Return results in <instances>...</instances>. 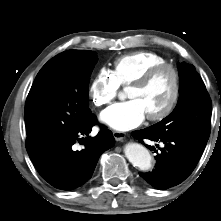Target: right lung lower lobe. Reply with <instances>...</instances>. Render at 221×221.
Listing matches in <instances>:
<instances>
[{"instance_id": "1", "label": "right lung lower lobe", "mask_w": 221, "mask_h": 221, "mask_svg": "<svg viewBox=\"0 0 221 221\" xmlns=\"http://www.w3.org/2000/svg\"><path fill=\"white\" fill-rule=\"evenodd\" d=\"M96 123V116L91 115L70 137L26 141L30 159L50 185L61 190H72L91 178L100 155L115 144L112 132L105 127L95 137L89 136ZM76 142L84 144V148L75 150Z\"/></svg>"}]
</instances>
